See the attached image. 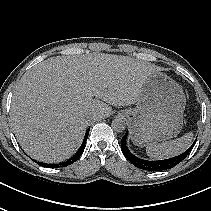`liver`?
Masks as SVG:
<instances>
[{"label": "liver", "instance_id": "6515ba94", "mask_svg": "<svg viewBox=\"0 0 211 211\" xmlns=\"http://www.w3.org/2000/svg\"><path fill=\"white\" fill-rule=\"evenodd\" d=\"M156 71L149 63L112 54L44 60L22 76L13 93L11 121L19 144L38 161L67 160L90 122L108 117L111 105L136 103Z\"/></svg>", "mask_w": 211, "mask_h": 211}]
</instances>
